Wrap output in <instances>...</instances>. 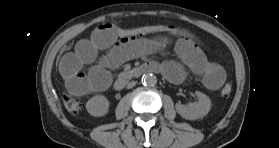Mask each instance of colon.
I'll list each match as a JSON object with an SVG mask.
<instances>
[{
    "label": "colon",
    "mask_w": 279,
    "mask_h": 148,
    "mask_svg": "<svg viewBox=\"0 0 279 148\" xmlns=\"http://www.w3.org/2000/svg\"><path fill=\"white\" fill-rule=\"evenodd\" d=\"M111 27L113 28L115 33L122 38H138V37H144L152 34H157L161 31L176 30V26L172 24H154V25H143V26L125 28L111 23ZM67 48L68 47H66L65 50H67ZM231 92H232V86L230 83H227L222 88L221 95L224 98H227L230 96ZM63 102L66 110L69 113L76 115L80 112L81 100L79 97L74 95H65L63 97Z\"/></svg>",
    "instance_id": "colon-1"
}]
</instances>
